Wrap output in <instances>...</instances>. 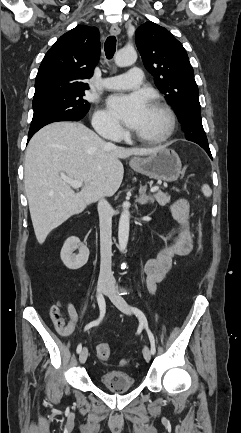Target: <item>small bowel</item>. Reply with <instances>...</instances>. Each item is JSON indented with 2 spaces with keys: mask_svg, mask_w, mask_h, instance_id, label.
I'll use <instances>...</instances> for the list:
<instances>
[{
  "mask_svg": "<svg viewBox=\"0 0 241 433\" xmlns=\"http://www.w3.org/2000/svg\"><path fill=\"white\" fill-rule=\"evenodd\" d=\"M171 212L179 225L178 235L170 245L162 249L155 258L148 260L145 264V286L150 293H154L157 286L166 278L172 267L173 258L175 256H185L193 249L187 200L178 199L172 205ZM66 309L69 316L68 322H65L57 304H53L49 310L56 331L63 337L71 336L79 325V315L74 304L68 301Z\"/></svg>",
  "mask_w": 241,
  "mask_h": 433,
  "instance_id": "1",
  "label": "small bowel"
}]
</instances>
